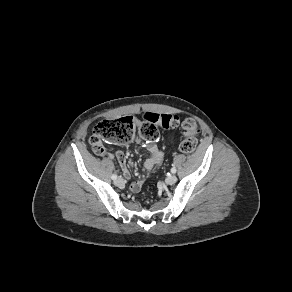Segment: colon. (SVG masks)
Listing matches in <instances>:
<instances>
[{
  "instance_id": "1",
  "label": "colon",
  "mask_w": 292,
  "mask_h": 292,
  "mask_svg": "<svg viewBox=\"0 0 292 292\" xmlns=\"http://www.w3.org/2000/svg\"><path fill=\"white\" fill-rule=\"evenodd\" d=\"M158 126L165 128L180 127L184 136L180 144V150L184 153H191L196 149L198 126L193 118L181 120L176 116L159 115L151 112L145 113L139 123H136L132 117L99 122L93 130L90 143L95 153L100 155L105 150L103 147L105 142L126 144L136 134H139L147 141L155 142L159 137Z\"/></svg>"
}]
</instances>
